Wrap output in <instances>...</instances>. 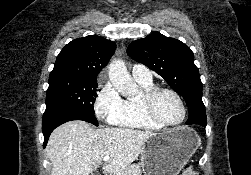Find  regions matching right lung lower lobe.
<instances>
[{
  "label": "right lung lower lobe",
  "mask_w": 251,
  "mask_h": 175,
  "mask_svg": "<svg viewBox=\"0 0 251 175\" xmlns=\"http://www.w3.org/2000/svg\"><path fill=\"white\" fill-rule=\"evenodd\" d=\"M72 120H83L89 123H92L94 125L97 124V120L94 115H90L85 112L81 111H74V110H52L48 113L45 112L43 115V122H42V131L44 135V147L46 146V143L48 141V138L51 134V132L58 127L59 125L72 121Z\"/></svg>",
  "instance_id": "right-lung-lower-lobe-1"
}]
</instances>
